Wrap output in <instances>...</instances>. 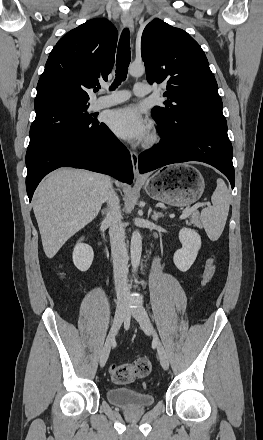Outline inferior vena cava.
<instances>
[{
	"instance_id": "1",
	"label": "inferior vena cava",
	"mask_w": 263,
	"mask_h": 440,
	"mask_svg": "<svg viewBox=\"0 0 263 440\" xmlns=\"http://www.w3.org/2000/svg\"><path fill=\"white\" fill-rule=\"evenodd\" d=\"M108 204L105 221L110 225L109 235L113 258L114 281L118 299H122L129 290L128 255L125 244V229L121 223L119 199L113 189H110L106 199Z\"/></svg>"
}]
</instances>
